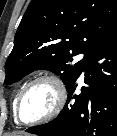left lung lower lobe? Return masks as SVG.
Returning <instances> with one entry per match:
<instances>
[{"instance_id": "obj_1", "label": "left lung lower lobe", "mask_w": 117, "mask_h": 136, "mask_svg": "<svg viewBox=\"0 0 117 136\" xmlns=\"http://www.w3.org/2000/svg\"><path fill=\"white\" fill-rule=\"evenodd\" d=\"M85 71L81 93L76 81ZM63 110L52 121L27 129L39 136H117V22L99 39L66 88Z\"/></svg>"}]
</instances>
